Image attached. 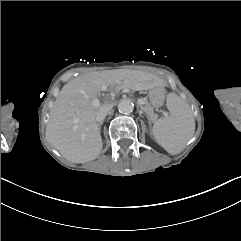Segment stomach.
Masks as SVG:
<instances>
[{
  "label": "stomach",
  "mask_w": 241,
  "mask_h": 241,
  "mask_svg": "<svg viewBox=\"0 0 241 241\" xmlns=\"http://www.w3.org/2000/svg\"><path fill=\"white\" fill-rule=\"evenodd\" d=\"M149 101L153 107L155 108L161 107L165 101V90L160 87L150 90Z\"/></svg>",
  "instance_id": "1"
}]
</instances>
